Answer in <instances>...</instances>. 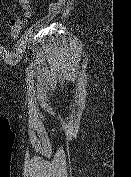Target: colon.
Listing matches in <instances>:
<instances>
[{"label": "colon", "mask_w": 131, "mask_h": 177, "mask_svg": "<svg viewBox=\"0 0 131 177\" xmlns=\"http://www.w3.org/2000/svg\"><path fill=\"white\" fill-rule=\"evenodd\" d=\"M18 1L20 5V11L11 19L8 30V34L11 40L16 39L20 35L30 16V0Z\"/></svg>", "instance_id": "1"}]
</instances>
